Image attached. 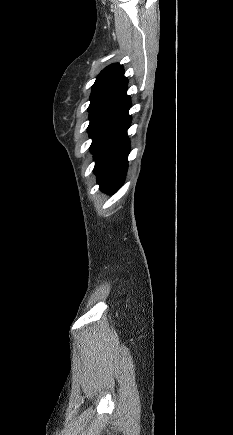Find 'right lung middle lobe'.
I'll use <instances>...</instances> for the list:
<instances>
[{
	"label": "right lung middle lobe",
	"mask_w": 233,
	"mask_h": 435,
	"mask_svg": "<svg viewBox=\"0 0 233 435\" xmlns=\"http://www.w3.org/2000/svg\"><path fill=\"white\" fill-rule=\"evenodd\" d=\"M123 116L114 115H97L90 116V124L88 126V132L90 138H92L91 151L93 152L95 148L109 135L123 120Z\"/></svg>",
	"instance_id": "obj_1"
}]
</instances>
